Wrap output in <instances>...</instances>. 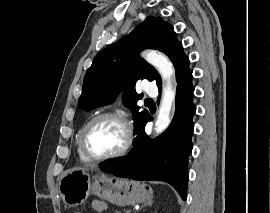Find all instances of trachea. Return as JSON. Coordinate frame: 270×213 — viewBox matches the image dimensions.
<instances>
[{"mask_svg": "<svg viewBox=\"0 0 270 213\" xmlns=\"http://www.w3.org/2000/svg\"><path fill=\"white\" fill-rule=\"evenodd\" d=\"M146 101H152V99L148 98V99H146Z\"/></svg>", "mask_w": 270, "mask_h": 213, "instance_id": "obj_1", "label": "trachea"}]
</instances>
